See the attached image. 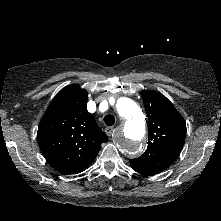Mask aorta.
<instances>
[{
	"label": "aorta",
	"instance_id": "1",
	"mask_svg": "<svg viewBox=\"0 0 221 221\" xmlns=\"http://www.w3.org/2000/svg\"><path fill=\"white\" fill-rule=\"evenodd\" d=\"M116 109L123 120L116 134V143L129 156H137L143 149L145 116L139 106L129 98H120Z\"/></svg>",
	"mask_w": 221,
	"mask_h": 221
}]
</instances>
